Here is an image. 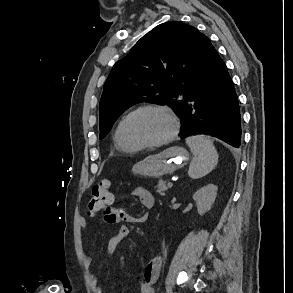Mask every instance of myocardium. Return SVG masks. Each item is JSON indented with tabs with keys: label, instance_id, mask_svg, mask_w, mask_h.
Wrapping results in <instances>:
<instances>
[{
	"label": "myocardium",
	"instance_id": "f54148a6",
	"mask_svg": "<svg viewBox=\"0 0 293 293\" xmlns=\"http://www.w3.org/2000/svg\"><path fill=\"white\" fill-rule=\"evenodd\" d=\"M144 111L161 112L169 119L171 123V129L165 137L155 142H139L134 140L131 137V133H130L131 122L137 114ZM178 130H179V122L176 116L167 107L162 105H157V104H145V105L137 107L126 116L124 120V124H123V136H124L125 142L129 144L130 146L138 148V149L155 148V147L164 146L175 138V136L178 133Z\"/></svg>",
	"mask_w": 293,
	"mask_h": 293
}]
</instances>
